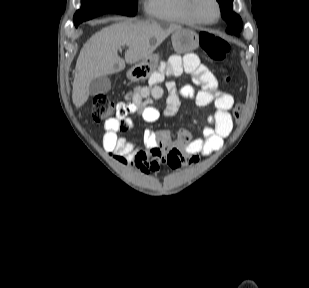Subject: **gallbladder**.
I'll return each mask as SVG.
<instances>
[{"label":"gallbladder","mask_w":309,"mask_h":288,"mask_svg":"<svg viewBox=\"0 0 309 288\" xmlns=\"http://www.w3.org/2000/svg\"><path fill=\"white\" fill-rule=\"evenodd\" d=\"M111 88V81L108 76H100L93 79L89 85V94L95 96L107 93Z\"/></svg>","instance_id":"1"}]
</instances>
